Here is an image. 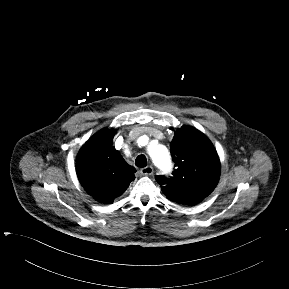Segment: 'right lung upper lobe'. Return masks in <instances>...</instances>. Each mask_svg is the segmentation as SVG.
Segmentation results:
<instances>
[{"label": "right lung upper lobe", "instance_id": "right-lung-upper-lobe-1", "mask_svg": "<svg viewBox=\"0 0 289 289\" xmlns=\"http://www.w3.org/2000/svg\"><path fill=\"white\" fill-rule=\"evenodd\" d=\"M115 130L103 129L93 135L77 157L80 183L96 200L111 204L128 188L136 171L113 146Z\"/></svg>", "mask_w": 289, "mask_h": 289}]
</instances>
